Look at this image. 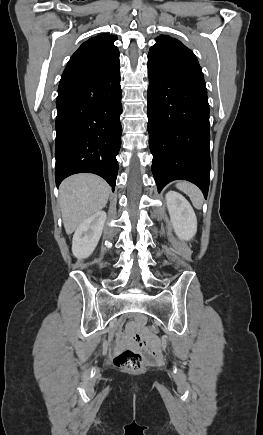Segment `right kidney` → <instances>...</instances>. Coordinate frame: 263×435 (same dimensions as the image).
<instances>
[{"instance_id":"1","label":"right kidney","mask_w":263,"mask_h":435,"mask_svg":"<svg viewBox=\"0 0 263 435\" xmlns=\"http://www.w3.org/2000/svg\"><path fill=\"white\" fill-rule=\"evenodd\" d=\"M106 217V212L98 211L78 226L72 240L75 257L82 259L92 254L101 237Z\"/></svg>"}]
</instances>
